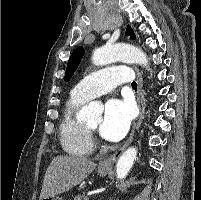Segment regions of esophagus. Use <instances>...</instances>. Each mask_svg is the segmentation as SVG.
I'll use <instances>...</instances> for the list:
<instances>
[{
    "mask_svg": "<svg viewBox=\"0 0 201 200\" xmlns=\"http://www.w3.org/2000/svg\"><path fill=\"white\" fill-rule=\"evenodd\" d=\"M121 21V18H120ZM135 72H136V77H137V83H138V90H137V95H136V99H137V104L139 106V116L138 118L135 120L131 133L128 137V139L126 140V142L122 145L121 148H119L112 156L104 159L103 161L100 162L99 164V168L100 169H111L113 163H115L118 158L120 157V155L123 153V151L129 146V144L132 142L133 137H134V133H135V128H136V123L137 120L143 115L144 113V107L142 104V89H143V78H142V74L141 72L135 67Z\"/></svg>",
    "mask_w": 201,
    "mask_h": 200,
    "instance_id": "obj_1",
    "label": "esophagus"
}]
</instances>
